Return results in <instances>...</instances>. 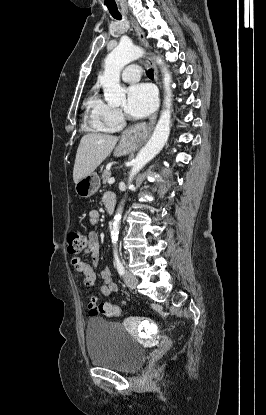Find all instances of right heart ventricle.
<instances>
[{
	"label": "right heart ventricle",
	"mask_w": 266,
	"mask_h": 415,
	"mask_svg": "<svg viewBox=\"0 0 266 415\" xmlns=\"http://www.w3.org/2000/svg\"><path fill=\"white\" fill-rule=\"evenodd\" d=\"M99 100L95 95H92L88 101L87 106L89 109L88 114V121L90 125L97 131H107L109 128L104 124L97 112V106L99 104Z\"/></svg>",
	"instance_id": "obj_1"
}]
</instances>
